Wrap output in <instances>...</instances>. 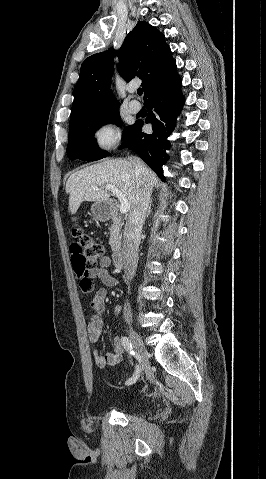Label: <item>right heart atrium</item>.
Masks as SVG:
<instances>
[{
  "label": "right heart atrium",
  "mask_w": 266,
  "mask_h": 479,
  "mask_svg": "<svg viewBox=\"0 0 266 479\" xmlns=\"http://www.w3.org/2000/svg\"><path fill=\"white\" fill-rule=\"evenodd\" d=\"M120 138V132L113 123H104L98 126L93 133L95 144L102 150H109L115 147Z\"/></svg>",
  "instance_id": "obj_1"
}]
</instances>
